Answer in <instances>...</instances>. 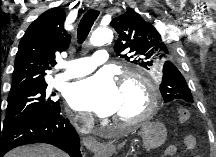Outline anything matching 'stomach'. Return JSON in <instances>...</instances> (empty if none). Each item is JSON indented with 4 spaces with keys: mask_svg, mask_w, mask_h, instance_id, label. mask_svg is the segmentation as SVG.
<instances>
[{
    "mask_svg": "<svg viewBox=\"0 0 216 157\" xmlns=\"http://www.w3.org/2000/svg\"><path fill=\"white\" fill-rule=\"evenodd\" d=\"M139 135L147 149H156L165 142L167 130L160 122H148L140 127Z\"/></svg>",
    "mask_w": 216,
    "mask_h": 157,
    "instance_id": "stomach-1",
    "label": "stomach"
}]
</instances>
